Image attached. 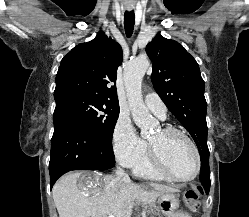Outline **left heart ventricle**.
<instances>
[{
  "instance_id": "left-heart-ventricle-1",
  "label": "left heart ventricle",
  "mask_w": 249,
  "mask_h": 217,
  "mask_svg": "<svg viewBox=\"0 0 249 217\" xmlns=\"http://www.w3.org/2000/svg\"><path fill=\"white\" fill-rule=\"evenodd\" d=\"M149 142L161 153L169 170L178 177L191 176L196 158L189 143L180 136H166L161 130L149 137Z\"/></svg>"
}]
</instances>
